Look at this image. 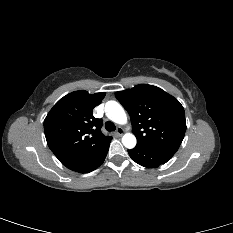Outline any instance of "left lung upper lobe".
<instances>
[{
    "mask_svg": "<svg viewBox=\"0 0 233 233\" xmlns=\"http://www.w3.org/2000/svg\"><path fill=\"white\" fill-rule=\"evenodd\" d=\"M115 96L130 115L137 144L179 148L186 120L178 100L159 87L146 84L116 92Z\"/></svg>",
    "mask_w": 233,
    "mask_h": 233,
    "instance_id": "5c2ea615",
    "label": "left lung upper lobe"
}]
</instances>
